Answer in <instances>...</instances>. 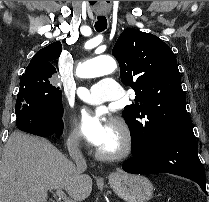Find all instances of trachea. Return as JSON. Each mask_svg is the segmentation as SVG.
Here are the masks:
<instances>
[{
  "instance_id": "3493384b",
  "label": "trachea",
  "mask_w": 209,
  "mask_h": 202,
  "mask_svg": "<svg viewBox=\"0 0 209 202\" xmlns=\"http://www.w3.org/2000/svg\"><path fill=\"white\" fill-rule=\"evenodd\" d=\"M95 29L97 32H102L107 29V19L105 16H98L95 23Z\"/></svg>"
}]
</instances>
